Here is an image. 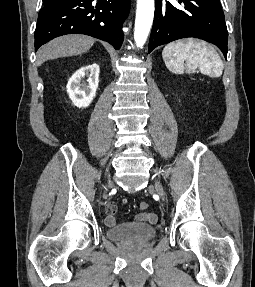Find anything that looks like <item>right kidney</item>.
Segmentation results:
<instances>
[{
    "label": "right kidney",
    "mask_w": 255,
    "mask_h": 287,
    "mask_svg": "<svg viewBox=\"0 0 255 287\" xmlns=\"http://www.w3.org/2000/svg\"><path fill=\"white\" fill-rule=\"evenodd\" d=\"M87 78V80H83ZM99 66L91 64V66H83L71 76L67 84V92L70 100L77 108H87L91 104L96 90L98 88Z\"/></svg>",
    "instance_id": "ca27d5eb"
}]
</instances>
